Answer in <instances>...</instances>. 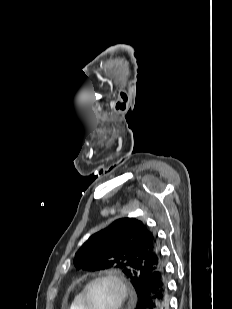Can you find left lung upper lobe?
<instances>
[{"label":"left lung upper lobe","mask_w":232,"mask_h":309,"mask_svg":"<svg viewBox=\"0 0 232 309\" xmlns=\"http://www.w3.org/2000/svg\"><path fill=\"white\" fill-rule=\"evenodd\" d=\"M74 265L88 271L122 270L139 298L150 274L162 266L158 237L135 218L118 219L89 237L77 251Z\"/></svg>","instance_id":"5c2ea615"}]
</instances>
